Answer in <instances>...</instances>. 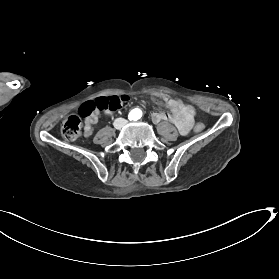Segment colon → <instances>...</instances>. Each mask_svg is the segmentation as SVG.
<instances>
[{
    "instance_id": "colon-1",
    "label": "colon",
    "mask_w": 279,
    "mask_h": 279,
    "mask_svg": "<svg viewBox=\"0 0 279 279\" xmlns=\"http://www.w3.org/2000/svg\"><path fill=\"white\" fill-rule=\"evenodd\" d=\"M130 101L127 95L120 96H104L95 100H90L83 103L77 114L70 115L64 120L61 126L62 136L69 141H74L80 137L82 132V118L90 115L95 110L116 111L126 106ZM189 114L193 117L196 115V110L193 106L184 105ZM205 129V124L198 122L194 126V131L197 133Z\"/></svg>"
}]
</instances>
